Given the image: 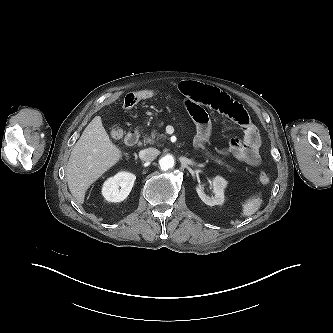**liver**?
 I'll return each mask as SVG.
<instances>
[{
    "label": "liver",
    "mask_w": 333,
    "mask_h": 333,
    "mask_svg": "<svg viewBox=\"0 0 333 333\" xmlns=\"http://www.w3.org/2000/svg\"><path fill=\"white\" fill-rule=\"evenodd\" d=\"M122 158V151L109 138L101 117L96 116L75 144L66 179L76 202L84 203L87 189Z\"/></svg>",
    "instance_id": "liver-1"
}]
</instances>
